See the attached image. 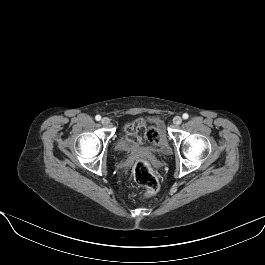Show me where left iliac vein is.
<instances>
[{
  "instance_id": "left-iliac-vein-1",
  "label": "left iliac vein",
  "mask_w": 265,
  "mask_h": 265,
  "mask_svg": "<svg viewBox=\"0 0 265 265\" xmlns=\"http://www.w3.org/2000/svg\"><path fill=\"white\" fill-rule=\"evenodd\" d=\"M174 125L178 126L182 123V118L180 116H175L173 119Z\"/></svg>"
}]
</instances>
